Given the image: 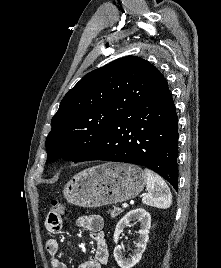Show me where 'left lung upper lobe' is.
<instances>
[{"instance_id":"obj_1","label":"left lung upper lobe","mask_w":221,"mask_h":268,"mask_svg":"<svg viewBox=\"0 0 221 268\" xmlns=\"http://www.w3.org/2000/svg\"><path fill=\"white\" fill-rule=\"evenodd\" d=\"M167 86L156 67L135 56L88 73L67 92L52 118L47 162L86 161L117 118Z\"/></svg>"}]
</instances>
